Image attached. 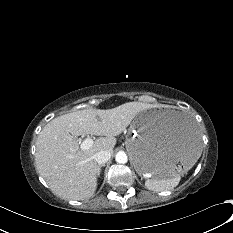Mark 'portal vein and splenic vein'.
<instances>
[{"label":"portal vein and splenic vein","instance_id":"1","mask_svg":"<svg viewBox=\"0 0 233 233\" xmlns=\"http://www.w3.org/2000/svg\"><path fill=\"white\" fill-rule=\"evenodd\" d=\"M93 140L91 138H86L81 144L80 149L81 150H88L93 145Z\"/></svg>","mask_w":233,"mask_h":233}]
</instances>
